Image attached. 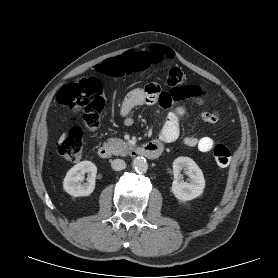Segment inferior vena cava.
I'll return each instance as SVG.
<instances>
[{"label":"inferior vena cava","instance_id":"obj_1","mask_svg":"<svg viewBox=\"0 0 278 278\" xmlns=\"http://www.w3.org/2000/svg\"><path fill=\"white\" fill-rule=\"evenodd\" d=\"M111 167L115 171H120L126 168V163L122 159H115L111 162Z\"/></svg>","mask_w":278,"mask_h":278}]
</instances>
